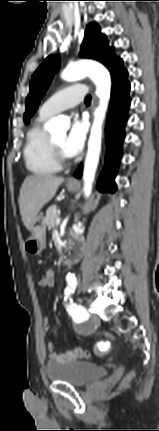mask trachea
Returning a JSON list of instances; mask_svg holds the SVG:
<instances>
[{"mask_svg": "<svg viewBox=\"0 0 159 431\" xmlns=\"http://www.w3.org/2000/svg\"><path fill=\"white\" fill-rule=\"evenodd\" d=\"M85 102H86L87 104H90V103H91V96H90V95H87V97L85 98Z\"/></svg>", "mask_w": 159, "mask_h": 431, "instance_id": "obj_1", "label": "trachea"}]
</instances>
